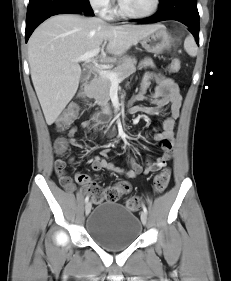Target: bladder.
Segmentation results:
<instances>
[{
  "mask_svg": "<svg viewBox=\"0 0 231 281\" xmlns=\"http://www.w3.org/2000/svg\"><path fill=\"white\" fill-rule=\"evenodd\" d=\"M86 230L89 237L102 248L118 251L139 238L142 225L133 212L118 203L106 201L90 213Z\"/></svg>",
  "mask_w": 231,
  "mask_h": 281,
  "instance_id": "bladder-1",
  "label": "bladder"
}]
</instances>
